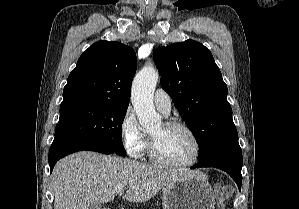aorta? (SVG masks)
<instances>
[{
	"instance_id": "1",
	"label": "aorta",
	"mask_w": 299,
	"mask_h": 209,
	"mask_svg": "<svg viewBox=\"0 0 299 209\" xmlns=\"http://www.w3.org/2000/svg\"><path fill=\"white\" fill-rule=\"evenodd\" d=\"M158 77V72L154 67L145 66L135 76L132 84V104L139 123L147 129L161 122V116L155 111L153 103Z\"/></svg>"
}]
</instances>
